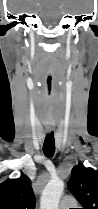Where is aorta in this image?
<instances>
[{"mask_svg": "<svg viewBox=\"0 0 98 209\" xmlns=\"http://www.w3.org/2000/svg\"><path fill=\"white\" fill-rule=\"evenodd\" d=\"M64 190V182L52 179L45 186L40 201V209H59V201Z\"/></svg>", "mask_w": 98, "mask_h": 209, "instance_id": "obj_1", "label": "aorta"}]
</instances>
